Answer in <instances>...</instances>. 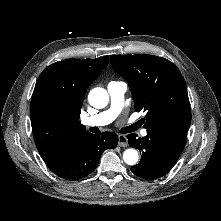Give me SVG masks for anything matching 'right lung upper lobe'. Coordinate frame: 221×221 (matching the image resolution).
<instances>
[{"instance_id": "cb5924a9", "label": "right lung upper lobe", "mask_w": 221, "mask_h": 221, "mask_svg": "<svg viewBox=\"0 0 221 221\" xmlns=\"http://www.w3.org/2000/svg\"><path fill=\"white\" fill-rule=\"evenodd\" d=\"M108 65V56L97 59H66L51 64L39 76L31 99L30 118L37 149L47 159L78 137L89 133L79 121L89 85ZM43 83L60 86L73 103L70 110H52L42 105L38 90Z\"/></svg>"}]
</instances>
